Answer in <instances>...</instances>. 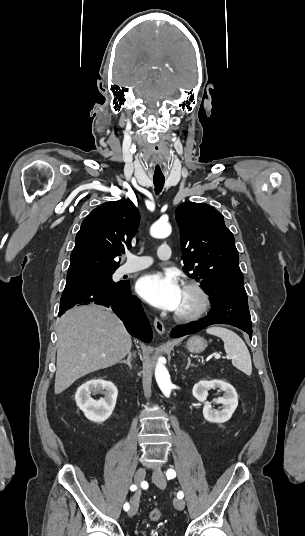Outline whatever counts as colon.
Returning a JSON list of instances; mask_svg holds the SVG:
<instances>
[{
	"mask_svg": "<svg viewBox=\"0 0 305 536\" xmlns=\"http://www.w3.org/2000/svg\"><path fill=\"white\" fill-rule=\"evenodd\" d=\"M161 516H162V511L160 508H154L149 513V518L154 521L159 520Z\"/></svg>",
	"mask_w": 305,
	"mask_h": 536,
	"instance_id": "1",
	"label": "colon"
}]
</instances>
